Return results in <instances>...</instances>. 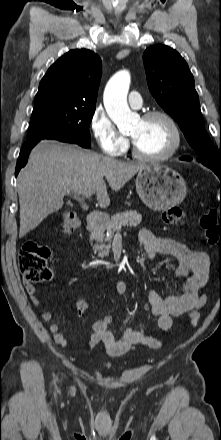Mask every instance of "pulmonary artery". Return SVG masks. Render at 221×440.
Here are the masks:
<instances>
[{
	"label": "pulmonary artery",
	"mask_w": 221,
	"mask_h": 440,
	"mask_svg": "<svg viewBox=\"0 0 221 440\" xmlns=\"http://www.w3.org/2000/svg\"><path fill=\"white\" fill-rule=\"evenodd\" d=\"M128 102L133 108H140L143 104L142 97L139 92L131 91L128 96Z\"/></svg>",
	"instance_id": "pulmonary-artery-1"
}]
</instances>
